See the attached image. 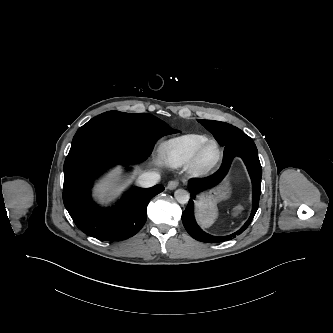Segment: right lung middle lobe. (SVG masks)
<instances>
[{"instance_id":"right-lung-middle-lobe-1","label":"right lung middle lobe","mask_w":333,"mask_h":333,"mask_svg":"<svg viewBox=\"0 0 333 333\" xmlns=\"http://www.w3.org/2000/svg\"><path fill=\"white\" fill-rule=\"evenodd\" d=\"M165 122L148 113L131 114L119 111L105 112L83 125L72 143L90 135L114 138L147 156L162 136L177 133Z\"/></svg>"}]
</instances>
